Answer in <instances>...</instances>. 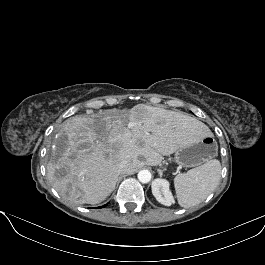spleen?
Instances as JSON below:
<instances>
[{
    "mask_svg": "<svg viewBox=\"0 0 265 265\" xmlns=\"http://www.w3.org/2000/svg\"><path fill=\"white\" fill-rule=\"evenodd\" d=\"M221 164L213 159L174 178L177 200L181 207L189 208L202 202L219 184Z\"/></svg>",
    "mask_w": 265,
    "mask_h": 265,
    "instance_id": "1",
    "label": "spleen"
}]
</instances>
